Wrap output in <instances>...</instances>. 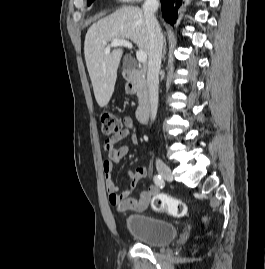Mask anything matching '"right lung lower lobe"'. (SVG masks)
I'll return each instance as SVG.
<instances>
[{
    "label": "right lung lower lobe",
    "mask_w": 265,
    "mask_h": 269,
    "mask_svg": "<svg viewBox=\"0 0 265 269\" xmlns=\"http://www.w3.org/2000/svg\"><path fill=\"white\" fill-rule=\"evenodd\" d=\"M182 4V0H161V9L164 19L174 24L177 19L178 8Z\"/></svg>",
    "instance_id": "98d812e1"
}]
</instances>
